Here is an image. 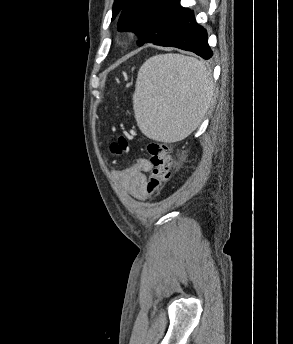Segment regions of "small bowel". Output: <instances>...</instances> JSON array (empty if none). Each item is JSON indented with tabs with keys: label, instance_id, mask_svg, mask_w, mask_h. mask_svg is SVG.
Segmentation results:
<instances>
[{
	"label": "small bowel",
	"instance_id": "small-bowel-1",
	"mask_svg": "<svg viewBox=\"0 0 293 344\" xmlns=\"http://www.w3.org/2000/svg\"><path fill=\"white\" fill-rule=\"evenodd\" d=\"M152 165L145 158L138 159L134 164L122 170L119 174L122 186L132 197L143 200L146 196V173Z\"/></svg>",
	"mask_w": 293,
	"mask_h": 344
}]
</instances>
